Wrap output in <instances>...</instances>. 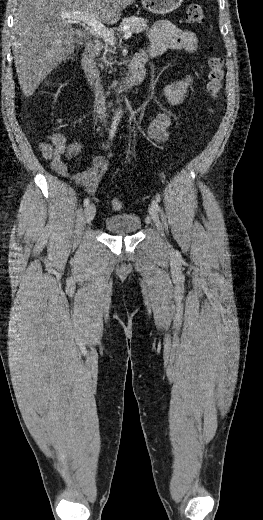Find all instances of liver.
Instances as JSON below:
<instances>
[{
  "label": "liver",
  "instance_id": "6515ba94",
  "mask_svg": "<svg viewBox=\"0 0 263 520\" xmlns=\"http://www.w3.org/2000/svg\"><path fill=\"white\" fill-rule=\"evenodd\" d=\"M135 0H18L14 8L13 53L20 87L30 97L47 75L72 54L85 33L63 13L86 12L115 24ZM76 35V38H75Z\"/></svg>",
  "mask_w": 263,
  "mask_h": 520
}]
</instances>
